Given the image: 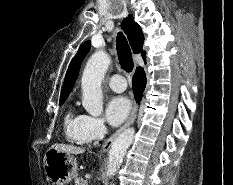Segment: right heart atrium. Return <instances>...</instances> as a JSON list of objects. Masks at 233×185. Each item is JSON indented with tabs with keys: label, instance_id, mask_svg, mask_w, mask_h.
<instances>
[{
	"label": "right heart atrium",
	"instance_id": "right-heart-atrium-1",
	"mask_svg": "<svg viewBox=\"0 0 233 185\" xmlns=\"http://www.w3.org/2000/svg\"><path fill=\"white\" fill-rule=\"evenodd\" d=\"M83 130L88 142L101 139L107 131L103 119L89 115H85Z\"/></svg>",
	"mask_w": 233,
	"mask_h": 185
}]
</instances>
